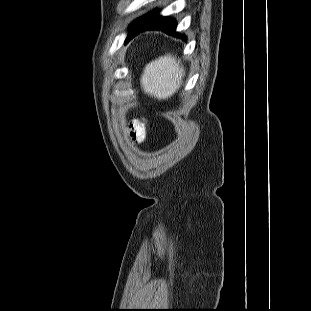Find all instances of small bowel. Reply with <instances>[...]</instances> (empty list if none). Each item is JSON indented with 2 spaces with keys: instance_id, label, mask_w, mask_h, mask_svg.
<instances>
[{
  "instance_id": "1",
  "label": "small bowel",
  "mask_w": 311,
  "mask_h": 311,
  "mask_svg": "<svg viewBox=\"0 0 311 311\" xmlns=\"http://www.w3.org/2000/svg\"><path fill=\"white\" fill-rule=\"evenodd\" d=\"M128 132L134 143H141L145 138V124L135 120L130 123Z\"/></svg>"
}]
</instances>
